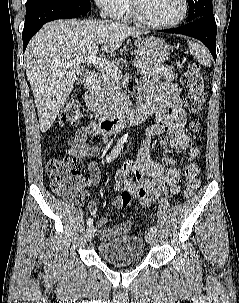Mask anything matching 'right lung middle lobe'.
Segmentation results:
<instances>
[{"label":"right lung middle lobe","mask_w":239,"mask_h":303,"mask_svg":"<svg viewBox=\"0 0 239 303\" xmlns=\"http://www.w3.org/2000/svg\"><path fill=\"white\" fill-rule=\"evenodd\" d=\"M47 1H56V2H90V0H27V7H30L31 5L35 4V3H40V2H47Z\"/></svg>","instance_id":"right-lung-middle-lobe-1"}]
</instances>
